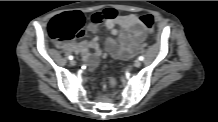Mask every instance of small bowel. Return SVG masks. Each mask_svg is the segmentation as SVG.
<instances>
[{
    "label": "small bowel",
    "instance_id": "obj_1",
    "mask_svg": "<svg viewBox=\"0 0 218 122\" xmlns=\"http://www.w3.org/2000/svg\"><path fill=\"white\" fill-rule=\"evenodd\" d=\"M88 30L94 33L97 28L107 27L113 36L118 39L109 38L106 42V50L115 58L128 59L138 50L140 44L145 40L148 28L135 14L119 15L114 7H105L99 12L88 15ZM120 26L121 31L116 27ZM59 47L68 46L70 50L79 53L83 61L89 67L98 64L101 50L99 38L94 37L90 41L72 42L68 45L58 43Z\"/></svg>",
    "mask_w": 218,
    "mask_h": 122
}]
</instances>
